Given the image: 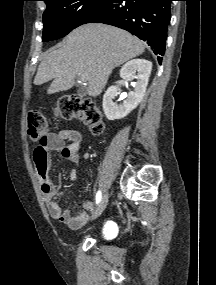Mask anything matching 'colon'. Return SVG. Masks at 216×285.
<instances>
[{"label":"colon","instance_id":"colon-1","mask_svg":"<svg viewBox=\"0 0 216 285\" xmlns=\"http://www.w3.org/2000/svg\"><path fill=\"white\" fill-rule=\"evenodd\" d=\"M55 115L62 119L80 118L95 134H102L104 122L97 105L89 99L62 98L54 109ZM28 135L37 143V147L44 148L48 137V119L40 111L28 114Z\"/></svg>","mask_w":216,"mask_h":285}]
</instances>
